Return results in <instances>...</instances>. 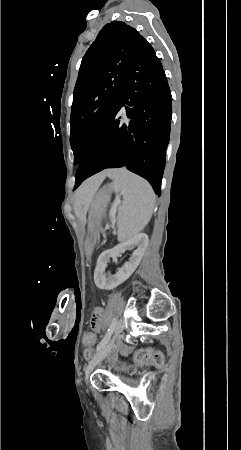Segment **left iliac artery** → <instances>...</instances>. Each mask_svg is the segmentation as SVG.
Returning <instances> with one entry per match:
<instances>
[{"mask_svg":"<svg viewBox=\"0 0 241 450\" xmlns=\"http://www.w3.org/2000/svg\"><path fill=\"white\" fill-rule=\"evenodd\" d=\"M116 325H117V319L114 318L112 323H111V325H110V327H109V329H108V331H107V333H106V335H105V337L97 345V348H96L97 351H99L101 348H103L107 344V342L109 341L113 331L116 328Z\"/></svg>","mask_w":241,"mask_h":450,"instance_id":"1","label":"left iliac artery"}]
</instances>
